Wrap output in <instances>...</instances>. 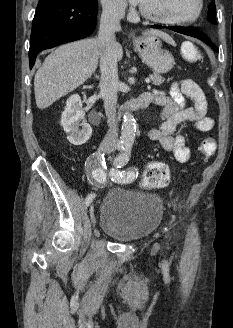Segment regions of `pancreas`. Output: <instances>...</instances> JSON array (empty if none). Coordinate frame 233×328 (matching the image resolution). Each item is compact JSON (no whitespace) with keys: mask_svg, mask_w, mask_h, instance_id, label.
I'll return each instance as SVG.
<instances>
[{"mask_svg":"<svg viewBox=\"0 0 233 328\" xmlns=\"http://www.w3.org/2000/svg\"><path fill=\"white\" fill-rule=\"evenodd\" d=\"M150 79L152 81V84L155 86H160L165 82V79L157 73L151 74Z\"/></svg>","mask_w":233,"mask_h":328,"instance_id":"pancreas-1","label":"pancreas"}]
</instances>
